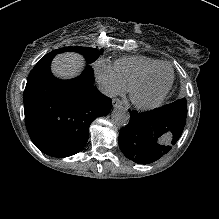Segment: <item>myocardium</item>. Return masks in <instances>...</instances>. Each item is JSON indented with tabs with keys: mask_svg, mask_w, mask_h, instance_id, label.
<instances>
[{
	"mask_svg": "<svg viewBox=\"0 0 219 219\" xmlns=\"http://www.w3.org/2000/svg\"><path fill=\"white\" fill-rule=\"evenodd\" d=\"M160 66H166L170 69L171 71V80H170V83L167 87V89L155 100L153 101H150V102H141V101H138L136 100L134 97H133V93H134V90L135 88L141 84L146 78L147 76H149L152 72H154L158 67ZM174 80H175V74H174V71L171 67V65L169 64H166L165 62H159L151 67H149L148 69H146L144 72H142L130 85H129V88H128V98H129V101L131 102V104L133 106H135L136 108L138 109H142V110H147V109H151V108H154V107H157L158 105H160L165 99L166 97L168 96L172 86H173V83H174Z\"/></svg>",
	"mask_w": 219,
	"mask_h": 219,
	"instance_id": "1",
	"label": "myocardium"
}]
</instances>
